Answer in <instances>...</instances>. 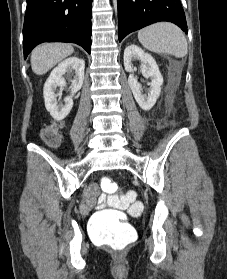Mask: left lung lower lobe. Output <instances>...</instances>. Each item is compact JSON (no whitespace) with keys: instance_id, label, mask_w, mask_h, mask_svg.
Masks as SVG:
<instances>
[{"instance_id":"0a47b994","label":"left lung lower lobe","mask_w":227,"mask_h":279,"mask_svg":"<svg viewBox=\"0 0 227 279\" xmlns=\"http://www.w3.org/2000/svg\"><path fill=\"white\" fill-rule=\"evenodd\" d=\"M119 42L129 33L159 21H169L186 31L180 0H117Z\"/></svg>"}]
</instances>
